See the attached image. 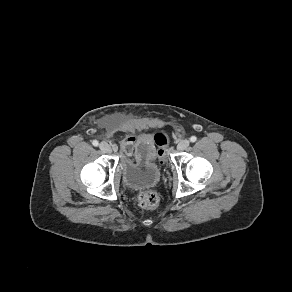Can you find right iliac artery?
<instances>
[{
  "instance_id": "right-iliac-artery-1",
  "label": "right iliac artery",
  "mask_w": 292,
  "mask_h": 292,
  "mask_svg": "<svg viewBox=\"0 0 292 292\" xmlns=\"http://www.w3.org/2000/svg\"><path fill=\"white\" fill-rule=\"evenodd\" d=\"M92 144H93L94 146H98V145H99V143H98L97 140H93V141H92Z\"/></svg>"
}]
</instances>
